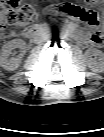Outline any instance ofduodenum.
I'll use <instances>...</instances> for the list:
<instances>
[{
	"label": "duodenum",
	"instance_id": "410a0bca",
	"mask_svg": "<svg viewBox=\"0 0 104 137\" xmlns=\"http://www.w3.org/2000/svg\"><path fill=\"white\" fill-rule=\"evenodd\" d=\"M37 32H38L37 27H31L24 32V35L28 38H33L34 36H36ZM78 38L81 39L82 41L87 42L90 37L88 35L81 34L78 35Z\"/></svg>",
	"mask_w": 104,
	"mask_h": 137
}]
</instances>
